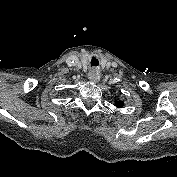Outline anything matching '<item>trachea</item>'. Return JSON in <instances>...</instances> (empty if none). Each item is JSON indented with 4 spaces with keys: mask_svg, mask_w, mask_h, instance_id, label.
<instances>
[{
    "mask_svg": "<svg viewBox=\"0 0 177 177\" xmlns=\"http://www.w3.org/2000/svg\"><path fill=\"white\" fill-rule=\"evenodd\" d=\"M91 65L92 66H98L99 65V62H98V60L95 57L92 58Z\"/></svg>",
    "mask_w": 177,
    "mask_h": 177,
    "instance_id": "obj_1",
    "label": "trachea"
}]
</instances>
